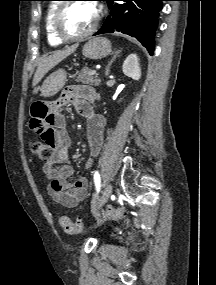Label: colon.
Segmentation results:
<instances>
[{
	"mask_svg": "<svg viewBox=\"0 0 216 285\" xmlns=\"http://www.w3.org/2000/svg\"><path fill=\"white\" fill-rule=\"evenodd\" d=\"M30 151L41 161H49L53 156V148L49 144H44V141H33L30 143ZM126 215V210L122 208L108 209L103 214L104 220H116ZM60 225L67 234L80 233L84 228V223L81 219L73 222L67 216H61L59 219Z\"/></svg>",
	"mask_w": 216,
	"mask_h": 285,
	"instance_id": "1",
	"label": "colon"
}]
</instances>
